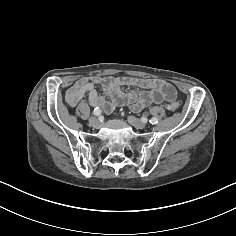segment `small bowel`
I'll return each mask as SVG.
<instances>
[{"instance_id":"small-bowel-1","label":"small bowel","mask_w":236,"mask_h":236,"mask_svg":"<svg viewBox=\"0 0 236 236\" xmlns=\"http://www.w3.org/2000/svg\"><path fill=\"white\" fill-rule=\"evenodd\" d=\"M100 84L107 99L101 95L95 85ZM123 87H137L140 92H124ZM85 96L90 105L105 113H110L117 105L130 104L134 111H140L148 105L159 104L164 101L172 102L177 97L174 86L166 81L147 77H91L77 80L66 92V101L76 106Z\"/></svg>"}]
</instances>
